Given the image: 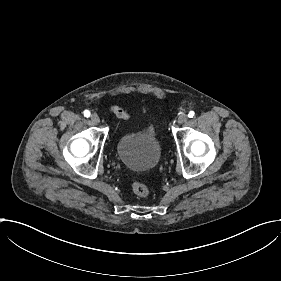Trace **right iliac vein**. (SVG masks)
Returning <instances> with one entry per match:
<instances>
[{
  "instance_id": "obj_1",
  "label": "right iliac vein",
  "mask_w": 281,
  "mask_h": 281,
  "mask_svg": "<svg viewBox=\"0 0 281 281\" xmlns=\"http://www.w3.org/2000/svg\"><path fill=\"white\" fill-rule=\"evenodd\" d=\"M91 122H92V124L97 125V124H99L100 119H99V117L96 114H93L91 116Z\"/></svg>"
}]
</instances>
